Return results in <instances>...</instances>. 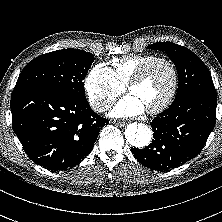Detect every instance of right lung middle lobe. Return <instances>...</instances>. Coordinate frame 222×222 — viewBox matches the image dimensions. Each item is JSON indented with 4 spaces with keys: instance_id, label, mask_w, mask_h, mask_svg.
Instances as JSON below:
<instances>
[{
    "instance_id": "dd1d6c3e",
    "label": "right lung middle lobe",
    "mask_w": 222,
    "mask_h": 222,
    "mask_svg": "<svg viewBox=\"0 0 222 222\" xmlns=\"http://www.w3.org/2000/svg\"><path fill=\"white\" fill-rule=\"evenodd\" d=\"M93 61L91 53L77 49L40 55L24 67L15 88L39 86L86 98L83 80Z\"/></svg>"
}]
</instances>
